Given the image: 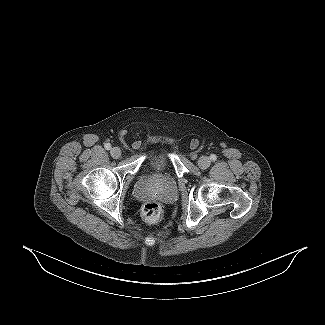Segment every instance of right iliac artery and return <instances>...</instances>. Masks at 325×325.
Instances as JSON below:
<instances>
[{"label": "right iliac artery", "mask_w": 325, "mask_h": 325, "mask_svg": "<svg viewBox=\"0 0 325 325\" xmlns=\"http://www.w3.org/2000/svg\"><path fill=\"white\" fill-rule=\"evenodd\" d=\"M104 147H105L106 150H110L111 149V145L109 143H106Z\"/></svg>", "instance_id": "1"}]
</instances>
